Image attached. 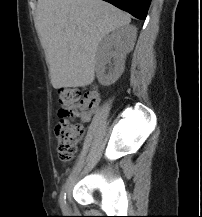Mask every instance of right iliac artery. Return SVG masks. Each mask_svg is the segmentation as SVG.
<instances>
[{
    "label": "right iliac artery",
    "instance_id": "right-iliac-artery-1",
    "mask_svg": "<svg viewBox=\"0 0 202 217\" xmlns=\"http://www.w3.org/2000/svg\"><path fill=\"white\" fill-rule=\"evenodd\" d=\"M68 183H69V181L67 180L66 183L64 184L62 191H61V194H60L59 202H60V206H61L62 210L64 209L65 204H66V189H67Z\"/></svg>",
    "mask_w": 202,
    "mask_h": 217
}]
</instances>
